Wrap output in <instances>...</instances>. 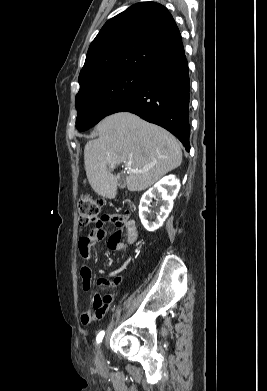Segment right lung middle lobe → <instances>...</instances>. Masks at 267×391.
<instances>
[{
    "label": "right lung middle lobe",
    "instance_id": "dd1d6c3e",
    "mask_svg": "<svg viewBox=\"0 0 267 391\" xmlns=\"http://www.w3.org/2000/svg\"><path fill=\"white\" fill-rule=\"evenodd\" d=\"M146 75L147 73L120 71L101 74L88 80L76 95V128L85 131L96 125L139 89Z\"/></svg>",
    "mask_w": 267,
    "mask_h": 391
}]
</instances>
